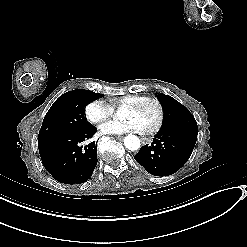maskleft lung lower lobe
<instances>
[{
    "instance_id": "0a47b994",
    "label": "left lung lower lobe",
    "mask_w": 247,
    "mask_h": 247,
    "mask_svg": "<svg viewBox=\"0 0 247 247\" xmlns=\"http://www.w3.org/2000/svg\"><path fill=\"white\" fill-rule=\"evenodd\" d=\"M197 140V131L160 130L151 145L140 148L134 159L148 173L168 176L178 171L189 159Z\"/></svg>"
}]
</instances>
